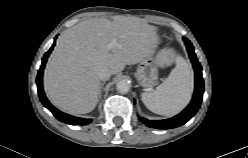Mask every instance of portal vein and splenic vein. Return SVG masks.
I'll use <instances>...</instances> for the list:
<instances>
[{
  "label": "portal vein and splenic vein",
  "instance_id": "obj_1",
  "mask_svg": "<svg viewBox=\"0 0 248 158\" xmlns=\"http://www.w3.org/2000/svg\"><path fill=\"white\" fill-rule=\"evenodd\" d=\"M116 46H119L118 42H117V39H113L110 44L108 45V49L111 50L113 49L114 47Z\"/></svg>",
  "mask_w": 248,
  "mask_h": 158
}]
</instances>
